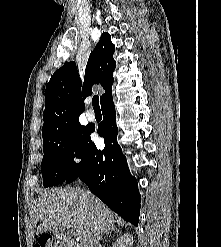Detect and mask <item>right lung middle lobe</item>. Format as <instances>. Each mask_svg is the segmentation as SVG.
<instances>
[{
	"mask_svg": "<svg viewBox=\"0 0 221 247\" xmlns=\"http://www.w3.org/2000/svg\"><path fill=\"white\" fill-rule=\"evenodd\" d=\"M90 141V127L75 122L43 138L41 164L44 187L64 182L78 165L74 157L83 158Z\"/></svg>",
	"mask_w": 221,
	"mask_h": 247,
	"instance_id": "dd1d6c3e",
	"label": "right lung middle lobe"
}]
</instances>
